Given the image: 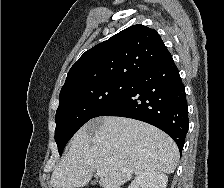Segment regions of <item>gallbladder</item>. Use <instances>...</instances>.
<instances>
[{
    "label": "gallbladder",
    "mask_w": 224,
    "mask_h": 188,
    "mask_svg": "<svg viewBox=\"0 0 224 188\" xmlns=\"http://www.w3.org/2000/svg\"><path fill=\"white\" fill-rule=\"evenodd\" d=\"M91 184L94 186L96 183L95 182H92Z\"/></svg>",
    "instance_id": "1"
}]
</instances>
